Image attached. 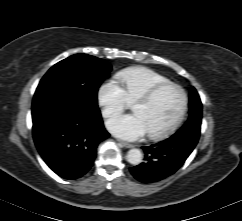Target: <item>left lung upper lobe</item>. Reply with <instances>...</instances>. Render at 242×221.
Wrapping results in <instances>:
<instances>
[{
  "label": "left lung upper lobe",
  "instance_id": "left-lung-upper-lobe-1",
  "mask_svg": "<svg viewBox=\"0 0 242 221\" xmlns=\"http://www.w3.org/2000/svg\"><path fill=\"white\" fill-rule=\"evenodd\" d=\"M189 107H190L189 118L186 121V123L176 133H185V132L194 131L200 134L201 122H202V103L194 87L190 89Z\"/></svg>",
  "mask_w": 242,
  "mask_h": 221
}]
</instances>
